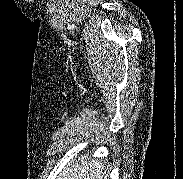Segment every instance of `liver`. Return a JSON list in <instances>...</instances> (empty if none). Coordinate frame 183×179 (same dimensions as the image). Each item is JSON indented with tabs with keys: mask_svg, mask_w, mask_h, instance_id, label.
<instances>
[{
	"mask_svg": "<svg viewBox=\"0 0 183 179\" xmlns=\"http://www.w3.org/2000/svg\"><path fill=\"white\" fill-rule=\"evenodd\" d=\"M69 162L58 175L57 179H107L101 160L83 156Z\"/></svg>",
	"mask_w": 183,
	"mask_h": 179,
	"instance_id": "1",
	"label": "liver"
}]
</instances>
